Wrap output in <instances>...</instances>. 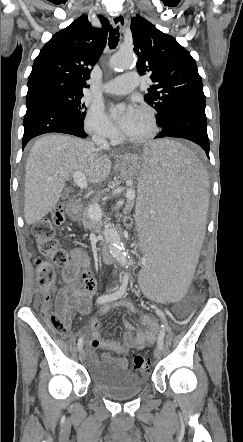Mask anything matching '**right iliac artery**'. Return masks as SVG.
Here are the masks:
<instances>
[{
    "label": "right iliac artery",
    "mask_w": 243,
    "mask_h": 442,
    "mask_svg": "<svg viewBox=\"0 0 243 442\" xmlns=\"http://www.w3.org/2000/svg\"><path fill=\"white\" fill-rule=\"evenodd\" d=\"M127 284H128V275H125L122 285L120 286L119 289H117L113 293L100 296L99 298H97L96 303L103 304V303L112 302V301H116V300L120 299L126 292ZM77 347H78L79 351L82 350V348H83V338L82 337L78 340Z\"/></svg>",
    "instance_id": "1"
}]
</instances>
